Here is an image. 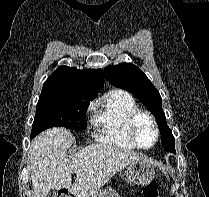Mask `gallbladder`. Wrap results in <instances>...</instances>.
<instances>
[{
  "label": "gallbladder",
  "instance_id": "obj_1",
  "mask_svg": "<svg viewBox=\"0 0 209 197\" xmlns=\"http://www.w3.org/2000/svg\"><path fill=\"white\" fill-rule=\"evenodd\" d=\"M46 197H56V191H50Z\"/></svg>",
  "mask_w": 209,
  "mask_h": 197
}]
</instances>
